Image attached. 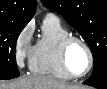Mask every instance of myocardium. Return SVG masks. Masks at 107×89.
<instances>
[{
    "label": "myocardium",
    "mask_w": 107,
    "mask_h": 89,
    "mask_svg": "<svg viewBox=\"0 0 107 89\" xmlns=\"http://www.w3.org/2000/svg\"><path fill=\"white\" fill-rule=\"evenodd\" d=\"M74 42L80 43L85 48L88 54V58H89L88 67L82 74H73L70 71L69 66H68V61H67L68 50L71 44ZM59 57H60V62L64 71L67 73V75L70 78H81L87 75L93 68L94 57H93V53L89 44L83 38L76 36V35L69 34L62 39V41L60 42V46H59Z\"/></svg>",
    "instance_id": "1"
}]
</instances>
